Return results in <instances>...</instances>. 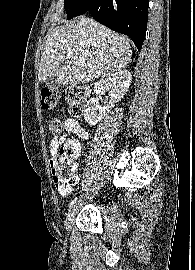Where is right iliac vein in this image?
<instances>
[{
    "instance_id": "1",
    "label": "right iliac vein",
    "mask_w": 195,
    "mask_h": 270,
    "mask_svg": "<svg viewBox=\"0 0 195 270\" xmlns=\"http://www.w3.org/2000/svg\"><path fill=\"white\" fill-rule=\"evenodd\" d=\"M76 214H77V206H74L67 218V222H66L67 231L71 230Z\"/></svg>"
}]
</instances>
